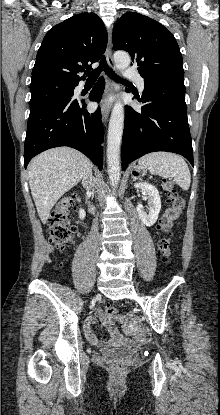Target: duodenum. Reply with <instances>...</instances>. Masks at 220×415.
<instances>
[{
	"label": "duodenum",
	"mask_w": 220,
	"mask_h": 415,
	"mask_svg": "<svg viewBox=\"0 0 220 415\" xmlns=\"http://www.w3.org/2000/svg\"><path fill=\"white\" fill-rule=\"evenodd\" d=\"M88 206H89V211L91 213H94L95 210H96V207H95L94 203H92L91 201H88Z\"/></svg>",
	"instance_id": "obj_1"
}]
</instances>
